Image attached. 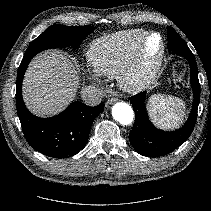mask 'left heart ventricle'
<instances>
[{
	"mask_svg": "<svg viewBox=\"0 0 211 211\" xmlns=\"http://www.w3.org/2000/svg\"><path fill=\"white\" fill-rule=\"evenodd\" d=\"M159 51V39L158 37H152L146 44L145 47V62L150 63L155 58Z\"/></svg>",
	"mask_w": 211,
	"mask_h": 211,
	"instance_id": "1",
	"label": "left heart ventricle"
}]
</instances>
